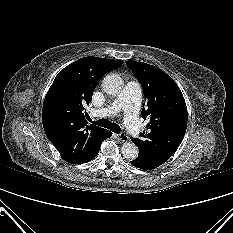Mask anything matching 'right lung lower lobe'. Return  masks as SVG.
<instances>
[{
  "label": "right lung lower lobe",
  "instance_id": "right-lung-lower-lobe-1",
  "mask_svg": "<svg viewBox=\"0 0 233 233\" xmlns=\"http://www.w3.org/2000/svg\"><path fill=\"white\" fill-rule=\"evenodd\" d=\"M112 135V132L110 131H107L105 132L104 136H103V139L102 141L99 143V145L89 154L87 155L84 160H82L80 163H85V162H88L90 160H92L93 158H95L99 152V149H100V146H101V143L106 139V138H109L110 136ZM78 163V164H80Z\"/></svg>",
  "mask_w": 233,
  "mask_h": 233
}]
</instances>
